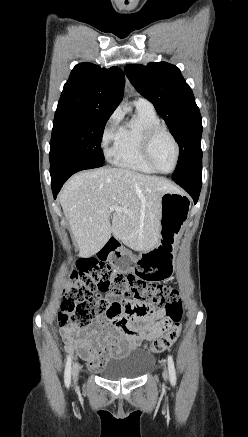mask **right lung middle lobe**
I'll return each instance as SVG.
<instances>
[{
    "mask_svg": "<svg viewBox=\"0 0 248 437\" xmlns=\"http://www.w3.org/2000/svg\"><path fill=\"white\" fill-rule=\"evenodd\" d=\"M110 115L57 108L50 142V164L78 157L104 163L101 139Z\"/></svg>",
    "mask_w": 248,
    "mask_h": 437,
    "instance_id": "obj_1",
    "label": "right lung middle lobe"
}]
</instances>
